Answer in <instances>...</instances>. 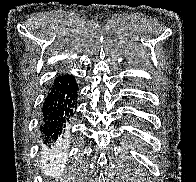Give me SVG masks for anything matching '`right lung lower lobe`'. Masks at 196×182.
Listing matches in <instances>:
<instances>
[{
	"mask_svg": "<svg viewBox=\"0 0 196 182\" xmlns=\"http://www.w3.org/2000/svg\"><path fill=\"white\" fill-rule=\"evenodd\" d=\"M79 88L71 75H59L45 99L42 108L40 132L48 147L52 149L65 139L67 127L75 113Z\"/></svg>",
	"mask_w": 196,
	"mask_h": 182,
	"instance_id": "obj_1",
	"label": "right lung lower lobe"
}]
</instances>
